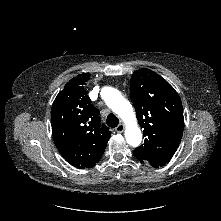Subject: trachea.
I'll return each instance as SVG.
<instances>
[{
  "mask_svg": "<svg viewBox=\"0 0 221 221\" xmlns=\"http://www.w3.org/2000/svg\"><path fill=\"white\" fill-rule=\"evenodd\" d=\"M106 123L109 127L115 128L117 127L119 120L114 114H109L107 116Z\"/></svg>",
  "mask_w": 221,
  "mask_h": 221,
  "instance_id": "obj_1",
  "label": "trachea"
}]
</instances>
